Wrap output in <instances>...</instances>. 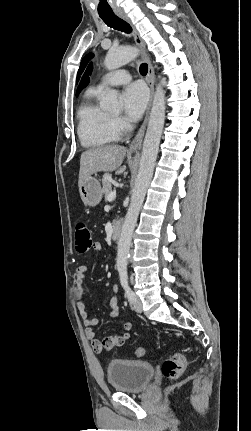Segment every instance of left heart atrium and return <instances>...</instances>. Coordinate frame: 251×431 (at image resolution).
<instances>
[{
	"instance_id": "39dd6f15",
	"label": "left heart atrium",
	"mask_w": 251,
	"mask_h": 431,
	"mask_svg": "<svg viewBox=\"0 0 251 431\" xmlns=\"http://www.w3.org/2000/svg\"><path fill=\"white\" fill-rule=\"evenodd\" d=\"M148 90L144 84L135 82L128 85L123 92V106L126 115L138 119L144 112L148 103Z\"/></svg>"
}]
</instances>
